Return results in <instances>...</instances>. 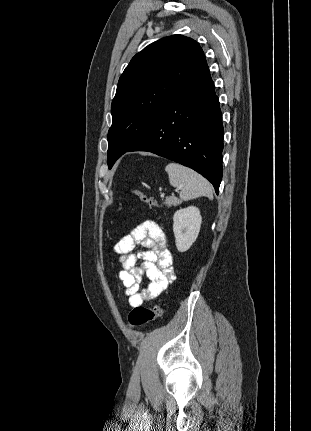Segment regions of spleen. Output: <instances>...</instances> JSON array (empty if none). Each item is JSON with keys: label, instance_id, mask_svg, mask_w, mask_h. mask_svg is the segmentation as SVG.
I'll return each instance as SVG.
<instances>
[{"label": "spleen", "instance_id": "obj_1", "mask_svg": "<svg viewBox=\"0 0 311 431\" xmlns=\"http://www.w3.org/2000/svg\"><path fill=\"white\" fill-rule=\"evenodd\" d=\"M169 176V182L173 188H181V200H194L200 196H207L213 200V190L211 184L202 178L197 172L190 168H184L180 164H168L165 168Z\"/></svg>", "mask_w": 311, "mask_h": 431}]
</instances>
